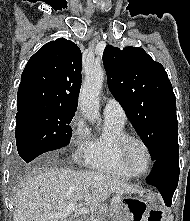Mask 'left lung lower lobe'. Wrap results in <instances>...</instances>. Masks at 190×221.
I'll list each match as a JSON object with an SVG mask.
<instances>
[{
  "label": "left lung lower lobe",
  "mask_w": 190,
  "mask_h": 221,
  "mask_svg": "<svg viewBox=\"0 0 190 221\" xmlns=\"http://www.w3.org/2000/svg\"><path fill=\"white\" fill-rule=\"evenodd\" d=\"M179 146L164 150L154 161L153 169L146 182L158 188L167 206L171 205L179 179Z\"/></svg>",
  "instance_id": "left-lung-lower-lobe-1"
}]
</instances>
